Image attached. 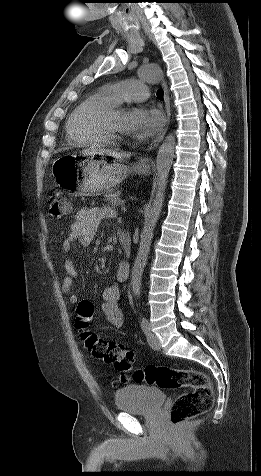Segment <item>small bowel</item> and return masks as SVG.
I'll use <instances>...</instances> for the list:
<instances>
[{"label":"small bowel","instance_id":"1","mask_svg":"<svg viewBox=\"0 0 261 476\" xmlns=\"http://www.w3.org/2000/svg\"><path fill=\"white\" fill-rule=\"evenodd\" d=\"M112 217H114V211L109 207L80 209L75 215L74 222L69 226L68 234L63 241V252L69 253L75 242L83 247H88L93 242L100 223ZM64 273L62 288L69 294V300L72 304H79V296L71 293L77 271L69 259L65 261ZM128 274L129 271L124 269V263H120L116 271V283L107 286L103 291L102 312L105 319L117 329H122L125 326V315L121 308L122 294L118 284L126 281Z\"/></svg>","mask_w":261,"mask_h":476}]
</instances>
